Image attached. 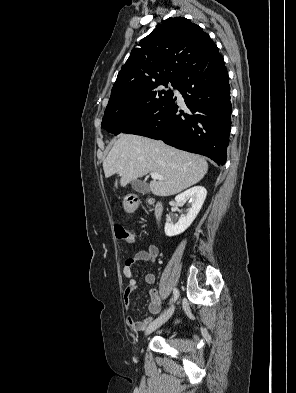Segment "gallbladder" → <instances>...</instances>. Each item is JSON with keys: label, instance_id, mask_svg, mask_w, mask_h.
Wrapping results in <instances>:
<instances>
[{"label": "gallbladder", "instance_id": "1", "mask_svg": "<svg viewBox=\"0 0 296 393\" xmlns=\"http://www.w3.org/2000/svg\"><path fill=\"white\" fill-rule=\"evenodd\" d=\"M132 188H133L136 192L141 193V194H147V193L150 192L149 185H148L146 182L141 181V180H135V181H133V182H132Z\"/></svg>", "mask_w": 296, "mask_h": 393}]
</instances>
